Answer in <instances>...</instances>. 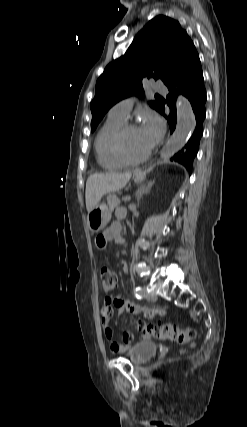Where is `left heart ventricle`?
<instances>
[{
    "instance_id": "b2bd125f",
    "label": "left heart ventricle",
    "mask_w": 247,
    "mask_h": 427,
    "mask_svg": "<svg viewBox=\"0 0 247 427\" xmlns=\"http://www.w3.org/2000/svg\"><path fill=\"white\" fill-rule=\"evenodd\" d=\"M125 147L131 157H139L151 148L139 128H134L127 133Z\"/></svg>"
}]
</instances>
